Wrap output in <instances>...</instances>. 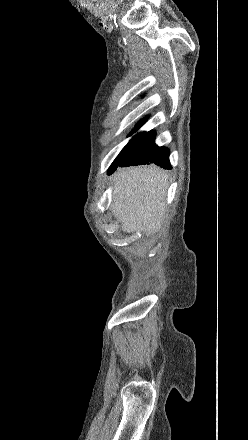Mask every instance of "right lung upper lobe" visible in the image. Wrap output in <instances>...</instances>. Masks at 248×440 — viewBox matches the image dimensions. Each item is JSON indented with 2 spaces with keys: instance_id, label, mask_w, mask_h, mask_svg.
Returning a JSON list of instances; mask_svg holds the SVG:
<instances>
[{
  "instance_id": "right-lung-upper-lobe-1",
  "label": "right lung upper lobe",
  "mask_w": 248,
  "mask_h": 440,
  "mask_svg": "<svg viewBox=\"0 0 248 440\" xmlns=\"http://www.w3.org/2000/svg\"><path fill=\"white\" fill-rule=\"evenodd\" d=\"M143 122H144V121H143ZM143 122L139 123V124L137 125V127H139Z\"/></svg>"
}]
</instances>
